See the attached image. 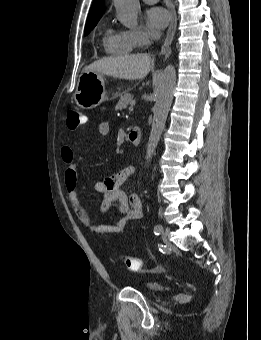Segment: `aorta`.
<instances>
[{"mask_svg":"<svg viewBox=\"0 0 261 340\" xmlns=\"http://www.w3.org/2000/svg\"><path fill=\"white\" fill-rule=\"evenodd\" d=\"M117 17L129 28L138 24L139 0H114ZM176 85V70L168 65L160 78L156 90V101L153 108V121L146 150V161L149 163L161 138L166 119L172 104Z\"/></svg>","mask_w":261,"mask_h":340,"instance_id":"obj_1","label":"aorta"}]
</instances>
